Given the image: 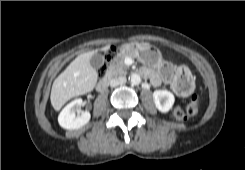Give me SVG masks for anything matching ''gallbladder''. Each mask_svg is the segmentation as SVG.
Returning <instances> with one entry per match:
<instances>
[{
  "mask_svg": "<svg viewBox=\"0 0 245 170\" xmlns=\"http://www.w3.org/2000/svg\"><path fill=\"white\" fill-rule=\"evenodd\" d=\"M104 64V57L100 53H95L90 59V65L98 70Z\"/></svg>",
  "mask_w": 245,
  "mask_h": 170,
  "instance_id": "gallbladder-1",
  "label": "gallbladder"
}]
</instances>
